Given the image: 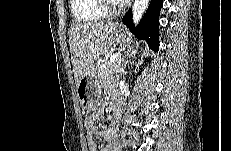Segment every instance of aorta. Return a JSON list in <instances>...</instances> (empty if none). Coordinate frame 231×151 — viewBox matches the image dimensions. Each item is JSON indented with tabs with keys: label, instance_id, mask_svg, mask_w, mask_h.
<instances>
[{
	"label": "aorta",
	"instance_id": "obj_1",
	"mask_svg": "<svg viewBox=\"0 0 231 151\" xmlns=\"http://www.w3.org/2000/svg\"><path fill=\"white\" fill-rule=\"evenodd\" d=\"M150 0H135L132 10L133 21L135 24L139 22L141 17L143 16L145 10L148 7Z\"/></svg>",
	"mask_w": 231,
	"mask_h": 151
}]
</instances>
